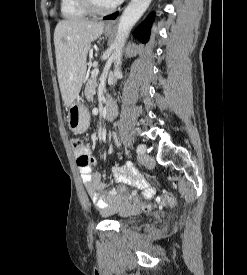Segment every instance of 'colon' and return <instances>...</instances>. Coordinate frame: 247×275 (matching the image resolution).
<instances>
[{
  "label": "colon",
  "instance_id": "5ec220e1",
  "mask_svg": "<svg viewBox=\"0 0 247 275\" xmlns=\"http://www.w3.org/2000/svg\"><path fill=\"white\" fill-rule=\"evenodd\" d=\"M71 145L76 152H82L84 148L83 142L78 138H73L71 140ZM80 160L84 162L86 161V157L82 155ZM116 191L121 197L128 200L129 202L135 205H141L144 210H148L150 208V205H143L138 193L130 190L127 186L119 185L116 188ZM155 203L162 206L174 207L176 205V197L171 192L162 191L155 198Z\"/></svg>",
  "mask_w": 247,
  "mask_h": 275
}]
</instances>
